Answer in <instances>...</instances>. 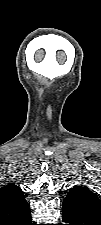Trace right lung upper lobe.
Segmentation results:
<instances>
[{
	"mask_svg": "<svg viewBox=\"0 0 101 225\" xmlns=\"http://www.w3.org/2000/svg\"><path fill=\"white\" fill-rule=\"evenodd\" d=\"M32 221L23 191L13 183L0 189V225H28Z\"/></svg>",
	"mask_w": 101,
	"mask_h": 225,
	"instance_id": "cb5924a9",
	"label": "right lung upper lobe"
}]
</instances>
